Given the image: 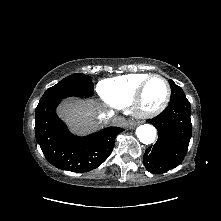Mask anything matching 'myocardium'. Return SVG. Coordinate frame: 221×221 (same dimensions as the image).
Masks as SVG:
<instances>
[{
	"instance_id": "myocardium-1",
	"label": "myocardium",
	"mask_w": 221,
	"mask_h": 221,
	"mask_svg": "<svg viewBox=\"0 0 221 221\" xmlns=\"http://www.w3.org/2000/svg\"><path fill=\"white\" fill-rule=\"evenodd\" d=\"M154 78H158L163 81V83L166 86V95H165L163 101L159 105H157L151 109H146L143 107L144 91H145L148 83ZM170 98H171V86H170V83L168 82V80L159 74H152V75H149L139 85V87L136 90L135 95L130 103V109H131L132 114L137 118H141V119L149 118V117H152V116L158 114L159 112H161L168 105Z\"/></svg>"
}]
</instances>
